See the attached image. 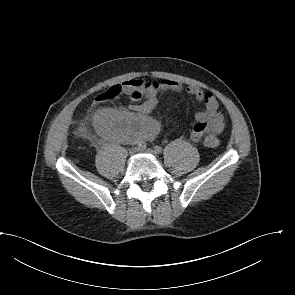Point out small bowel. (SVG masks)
<instances>
[{
    "label": "small bowel",
    "mask_w": 295,
    "mask_h": 295,
    "mask_svg": "<svg viewBox=\"0 0 295 295\" xmlns=\"http://www.w3.org/2000/svg\"><path fill=\"white\" fill-rule=\"evenodd\" d=\"M122 90L135 102L131 111L113 108L99 110L94 116V125L99 133L114 141L134 143L152 139L158 132V123L149 114L156 108L158 97L166 92L185 91L203 109L195 115L196 123L191 131V139L198 142L206 134H220L225 125L224 115L219 109L216 97L196 86H183L171 81L129 80L122 84Z\"/></svg>",
    "instance_id": "obj_1"
}]
</instances>
